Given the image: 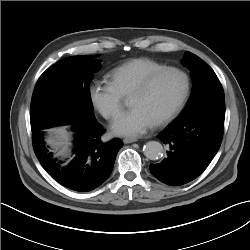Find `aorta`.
<instances>
[{"mask_svg":"<svg viewBox=\"0 0 250 250\" xmlns=\"http://www.w3.org/2000/svg\"><path fill=\"white\" fill-rule=\"evenodd\" d=\"M163 146L157 141H149L144 145V155L150 160H158L163 156Z\"/></svg>","mask_w":250,"mask_h":250,"instance_id":"1","label":"aorta"}]
</instances>
